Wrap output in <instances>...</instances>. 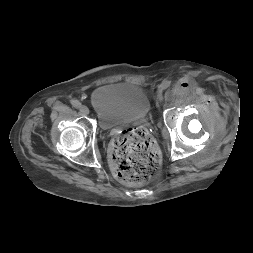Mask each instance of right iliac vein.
<instances>
[{
	"instance_id": "1",
	"label": "right iliac vein",
	"mask_w": 253,
	"mask_h": 253,
	"mask_svg": "<svg viewBox=\"0 0 253 253\" xmlns=\"http://www.w3.org/2000/svg\"><path fill=\"white\" fill-rule=\"evenodd\" d=\"M80 114L81 115H88L89 114V109H88V107L87 106H85V105H82V106H80Z\"/></svg>"
}]
</instances>
